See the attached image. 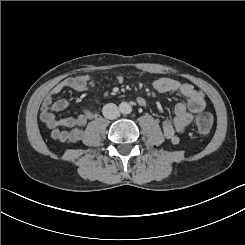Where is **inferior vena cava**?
<instances>
[{
	"mask_svg": "<svg viewBox=\"0 0 245 245\" xmlns=\"http://www.w3.org/2000/svg\"><path fill=\"white\" fill-rule=\"evenodd\" d=\"M102 114L106 119H115L119 115L118 107L113 103L106 104L102 109Z\"/></svg>",
	"mask_w": 245,
	"mask_h": 245,
	"instance_id": "inferior-vena-cava-1",
	"label": "inferior vena cava"
}]
</instances>
